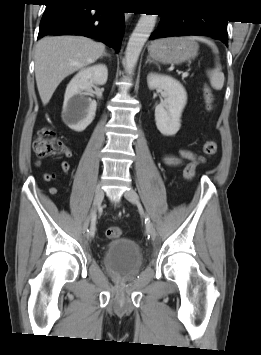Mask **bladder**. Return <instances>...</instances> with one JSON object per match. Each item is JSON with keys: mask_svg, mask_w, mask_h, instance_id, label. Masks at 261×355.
<instances>
[{"mask_svg": "<svg viewBox=\"0 0 261 355\" xmlns=\"http://www.w3.org/2000/svg\"><path fill=\"white\" fill-rule=\"evenodd\" d=\"M102 259L109 272L127 280L137 275L143 262L138 244L131 239L121 237L106 245Z\"/></svg>", "mask_w": 261, "mask_h": 355, "instance_id": "bladder-1", "label": "bladder"}]
</instances>
